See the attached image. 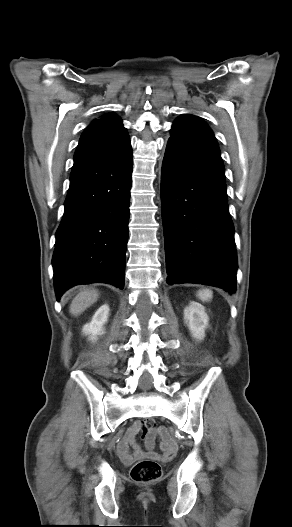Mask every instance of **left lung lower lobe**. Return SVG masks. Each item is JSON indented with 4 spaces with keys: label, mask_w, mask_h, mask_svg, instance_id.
<instances>
[{
    "label": "left lung lower lobe",
    "mask_w": 292,
    "mask_h": 527,
    "mask_svg": "<svg viewBox=\"0 0 292 527\" xmlns=\"http://www.w3.org/2000/svg\"><path fill=\"white\" fill-rule=\"evenodd\" d=\"M161 201L167 283L234 292L237 258L222 159L168 142Z\"/></svg>",
    "instance_id": "0a47b994"
}]
</instances>
